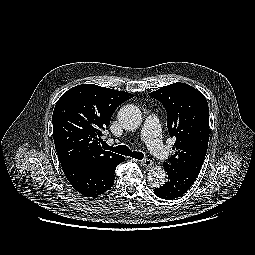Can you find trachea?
<instances>
[{
  "label": "trachea",
  "mask_w": 255,
  "mask_h": 255,
  "mask_svg": "<svg viewBox=\"0 0 255 255\" xmlns=\"http://www.w3.org/2000/svg\"><path fill=\"white\" fill-rule=\"evenodd\" d=\"M106 148L110 151L115 152V153L125 155V156H130L137 160H142L144 158V154L142 152L131 151L126 145H119L116 147H111V146L106 145Z\"/></svg>",
  "instance_id": "3493384b"
}]
</instances>
